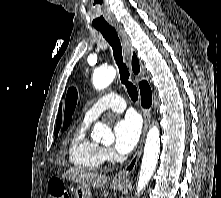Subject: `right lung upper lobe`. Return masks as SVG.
<instances>
[{
  "label": "right lung upper lobe",
  "mask_w": 221,
  "mask_h": 198,
  "mask_svg": "<svg viewBox=\"0 0 221 198\" xmlns=\"http://www.w3.org/2000/svg\"><path fill=\"white\" fill-rule=\"evenodd\" d=\"M132 69H133V72L136 73V74L140 71L139 63H138V60H137L135 54L133 55V59H132ZM61 119H62V116H61V107H60L59 113H58V116H57L55 132H59V129H60V126H61Z\"/></svg>",
  "instance_id": "cb5924a9"
}]
</instances>
